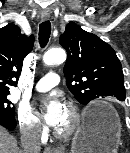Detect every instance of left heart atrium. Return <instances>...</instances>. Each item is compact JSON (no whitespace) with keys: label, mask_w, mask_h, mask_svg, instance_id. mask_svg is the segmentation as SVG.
<instances>
[{"label":"left heart atrium","mask_w":130,"mask_h":153,"mask_svg":"<svg viewBox=\"0 0 130 153\" xmlns=\"http://www.w3.org/2000/svg\"><path fill=\"white\" fill-rule=\"evenodd\" d=\"M64 106L61 101L55 96L51 95L47 98L44 104L43 118L50 126H56L62 116Z\"/></svg>","instance_id":"1"}]
</instances>
